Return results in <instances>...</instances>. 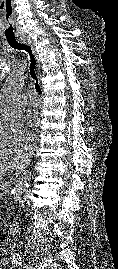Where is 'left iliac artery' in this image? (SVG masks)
<instances>
[{
  "label": "left iliac artery",
  "mask_w": 118,
  "mask_h": 269,
  "mask_svg": "<svg viewBox=\"0 0 118 269\" xmlns=\"http://www.w3.org/2000/svg\"><path fill=\"white\" fill-rule=\"evenodd\" d=\"M12 262L16 265V266H22V258L20 257L19 254H14L12 257Z\"/></svg>",
  "instance_id": "left-iliac-artery-1"
}]
</instances>
